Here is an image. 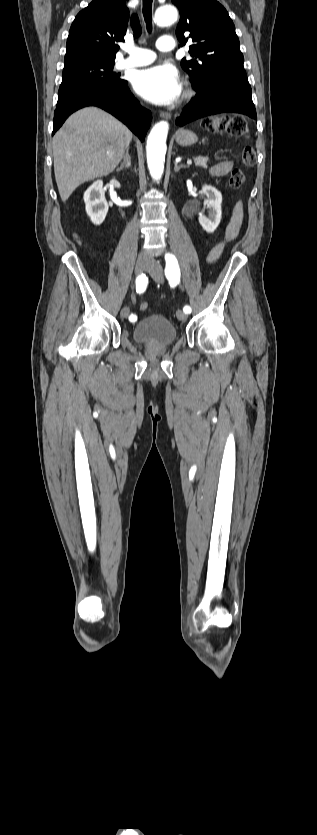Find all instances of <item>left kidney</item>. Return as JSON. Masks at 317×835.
Wrapping results in <instances>:
<instances>
[{
  "instance_id": "1",
  "label": "left kidney",
  "mask_w": 317,
  "mask_h": 835,
  "mask_svg": "<svg viewBox=\"0 0 317 835\" xmlns=\"http://www.w3.org/2000/svg\"><path fill=\"white\" fill-rule=\"evenodd\" d=\"M202 190L206 199L203 203V210L199 213L198 220L206 232L212 233L221 221L222 195L216 188L210 185H204ZM204 209H207V214H205Z\"/></svg>"
}]
</instances>
